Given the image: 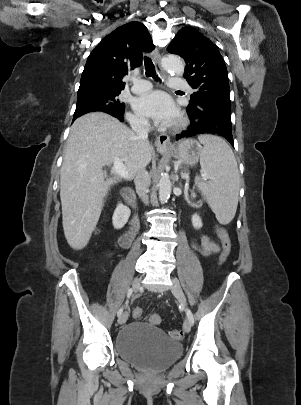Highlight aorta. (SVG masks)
Returning a JSON list of instances; mask_svg holds the SVG:
<instances>
[{"label": "aorta", "instance_id": "obj_1", "mask_svg": "<svg viewBox=\"0 0 301 405\" xmlns=\"http://www.w3.org/2000/svg\"><path fill=\"white\" fill-rule=\"evenodd\" d=\"M162 67L168 72H173L177 75H182L184 72L183 61L175 55H169L162 60ZM159 200L166 202L170 198L172 184L167 173L161 175L159 180Z\"/></svg>", "mask_w": 301, "mask_h": 405}]
</instances>
